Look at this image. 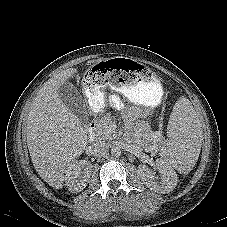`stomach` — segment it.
<instances>
[{"label": "stomach", "instance_id": "stomach-1", "mask_svg": "<svg viewBox=\"0 0 227 227\" xmlns=\"http://www.w3.org/2000/svg\"><path fill=\"white\" fill-rule=\"evenodd\" d=\"M109 88L141 105L155 106L160 103L163 94L161 83L150 70L127 57L100 58L88 68L86 97L94 112L102 109V92Z\"/></svg>", "mask_w": 227, "mask_h": 227}]
</instances>
